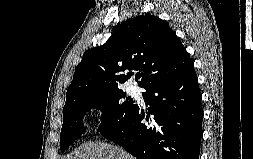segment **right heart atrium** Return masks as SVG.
<instances>
[{"instance_id": "right-heart-atrium-1", "label": "right heart atrium", "mask_w": 253, "mask_h": 159, "mask_svg": "<svg viewBox=\"0 0 253 159\" xmlns=\"http://www.w3.org/2000/svg\"><path fill=\"white\" fill-rule=\"evenodd\" d=\"M103 113H104V109H103V108H99V109H98V114L101 115V114H103Z\"/></svg>"}]
</instances>
